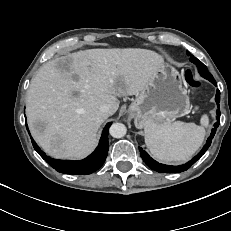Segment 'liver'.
<instances>
[{"instance_id": "1", "label": "liver", "mask_w": 231, "mask_h": 231, "mask_svg": "<svg viewBox=\"0 0 231 231\" xmlns=\"http://www.w3.org/2000/svg\"><path fill=\"white\" fill-rule=\"evenodd\" d=\"M163 64L161 55L140 48L90 49L47 62L27 91L34 139L52 157L84 158L97 145L98 129L107 119L100 106L109 105L113 115L117 97L138 96Z\"/></svg>"}]
</instances>
